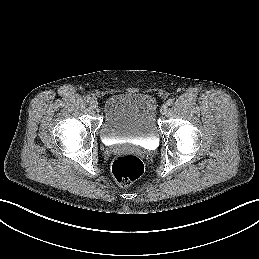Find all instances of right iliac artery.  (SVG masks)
I'll use <instances>...</instances> for the list:
<instances>
[{
    "label": "right iliac artery",
    "mask_w": 259,
    "mask_h": 259,
    "mask_svg": "<svg viewBox=\"0 0 259 259\" xmlns=\"http://www.w3.org/2000/svg\"><path fill=\"white\" fill-rule=\"evenodd\" d=\"M85 101H86V102H91V101H92V99H91V97L86 96V97H85Z\"/></svg>",
    "instance_id": "1"
}]
</instances>
